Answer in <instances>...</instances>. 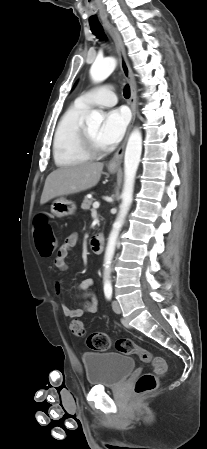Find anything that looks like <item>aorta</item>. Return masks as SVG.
<instances>
[{"label": "aorta", "mask_w": 207, "mask_h": 449, "mask_svg": "<svg viewBox=\"0 0 207 449\" xmlns=\"http://www.w3.org/2000/svg\"><path fill=\"white\" fill-rule=\"evenodd\" d=\"M116 67V60L112 57H108L102 60L95 61L90 68V76L96 83L104 81L110 76ZM103 121V116L98 111H92L86 117V124L88 126L99 127ZM142 152V135L139 129H134L129 136L125 156H124V188L121 195L122 203L118 217L113 224V228L109 235L104 262V284L110 285V271L111 263L114 256L116 242L119 232L124 223L126 214L133 199L134 181L136 172L139 166L140 157Z\"/></svg>", "instance_id": "1"}]
</instances>
